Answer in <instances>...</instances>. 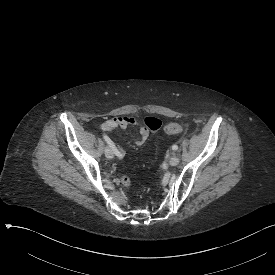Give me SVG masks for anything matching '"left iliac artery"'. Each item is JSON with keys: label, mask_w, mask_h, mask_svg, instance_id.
I'll return each mask as SVG.
<instances>
[{"label": "left iliac artery", "mask_w": 275, "mask_h": 275, "mask_svg": "<svg viewBox=\"0 0 275 275\" xmlns=\"http://www.w3.org/2000/svg\"><path fill=\"white\" fill-rule=\"evenodd\" d=\"M172 149L176 151V150H178V146L177 145H173Z\"/></svg>", "instance_id": "44dca946"}]
</instances>
